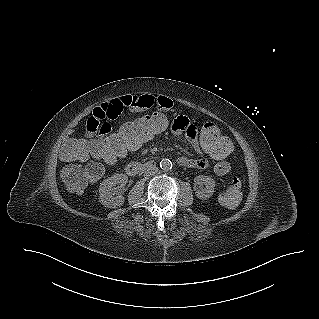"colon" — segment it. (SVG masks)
I'll use <instances>...</instances> for the list:
<instances>
[{
  "label": "colon",
  "instance_id": "5ec220e1",
  "mask_svg": "<svg viewBox=\"0 0 319 319\" xmlns=\"http://www.w3.org/2000/svg\"><path fill=\"white\" fill-rule=\"evenodd\" d=\"M168 131V118L162 113H153L136 115L135 120L121 124L100 138L68 137L61 150L62 158L68 162L62 169V179L70 191L81 192L90 181L101 177L103 165L116 166L144 144L164 138ZM198 140L211 157L220 161L230 159L236 150L234 140L214 124L204 126L199 132ZM86 152L91 160L86 164L77 163L85 160ZM241 197V182L233 178L222 191L220 201L226 207H235Z\"/></svg>",
  "mask_w": 319,
  "mask_h": 319
}]
</instances>
